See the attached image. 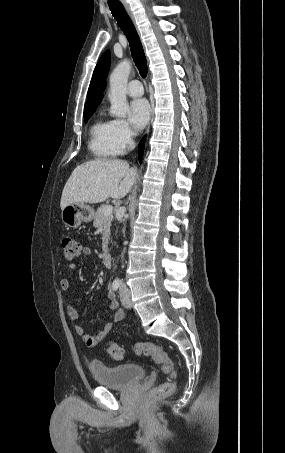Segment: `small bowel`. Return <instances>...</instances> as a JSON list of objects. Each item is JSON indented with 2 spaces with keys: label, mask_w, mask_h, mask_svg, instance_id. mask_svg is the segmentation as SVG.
<instances>
[{
  "label": "small bowel",
  "mask_w": 285,
  "mask_h": 453,
  "mask_svg": "<svg viewBox=\"0 0 285 453\" xmlns=\"http://www.w3.org/2000/svg\"><path fill=\"white\" fill-rule=\"evenodd\" d=\"M81 253L85 256H88L91 254V249L89 247H83L81 249ZM69 271L73 272L76 270V264L75 263H70L68 265ZM60 287L62 290L67 291L70 288V280L67 278H63L60 281ZM108 298H109V308L112 310H115V313L113 315L112 322L107 323L104 328L97 334L95 335H90L87 332H85L84 328L80 324H75L74 329L75 332L78 334V336L81 338V340L88 346V347H94L96 346L99 342H101L111 331L112 326L114 323L120 322L124 319L125 314L121 309H118V302L115 299V296L113 292L111 291L109 287V293H108ZM67 314L70 318L71 321L77 322L79 320V312L78 310L73 307L72 305H68L67 307Z\"/></svg>",
  "instance_id": "small-bowel-1"
}]
</instances>
